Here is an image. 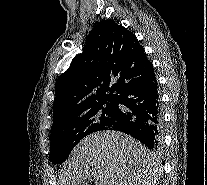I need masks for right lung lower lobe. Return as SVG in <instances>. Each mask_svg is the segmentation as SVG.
I'll list each match as a JSON object with an SVG mask.
<instances>
[{"label": "right lung lower lobe", "mask_w": 207, "mask_h": 185, "mask_svg": "<svg viewBox=\"0 0 207 185\" xmlns=\"http://www.w3.org/2000/svg\"><path fill=\"white\" fill-rule=\"evenodd\" d=\"M115 103L123 107H118L116 121L102 130L125 132L149 149L157 150L161 142L162 115L154 73L128 83L120 91Z\"/></svg>", "instance_id": "right-lung-lower-lobe-1"}]
</instances>
